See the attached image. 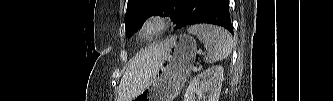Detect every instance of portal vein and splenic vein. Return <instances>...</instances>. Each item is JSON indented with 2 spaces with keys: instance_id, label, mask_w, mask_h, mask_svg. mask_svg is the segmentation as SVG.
Instances as JSON below:
<instances>
[{
  "instance_id": "18ae733b",
  "label": "portal vein and splenic vein",
  "mask_w": 333,
  "mask_h": 101,
  "mask_svg": "<svg viewBox=\"0 0 333 101\" xmlns=\"http://www.w3.org/2000/svg\"><path fill=\"white\" fill-rule=\"evenodd\" d=\"M201 54H203L202 51H201ZM192 69H193V71H197L198 70L196 67H193Z\"/></svg>"
}]
</instances>
